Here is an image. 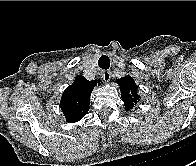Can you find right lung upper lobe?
Instances as JSON below:
<instances>
[{
  "label": "right lung upper lobe",
  "instance_id": "cb5924a9",
  "mask_svg": "<svg viewBox=\"0 0 196 166\" xmlns=\"http://www.w3.org/2000/svg\"><path fill=\"white\" fill-rule=\"evenodd\" d=\"M100 80L88 81L85 77L77 75L75 81L62 94L60 108L69 123L77 122L84 117L90 105V95Z\"/></svg>",
  "mask_w": 196,
  "mask_h": 166
}]
</instances>
